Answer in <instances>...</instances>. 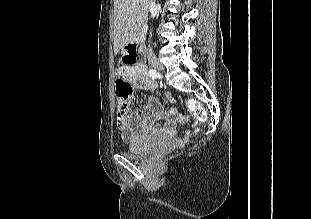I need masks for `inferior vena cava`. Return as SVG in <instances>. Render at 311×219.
<instances>
[{"mask_svg":"<svg viewBox=\"0 0 311 219\" xmlns=\"http://www.w3.org/2000/svg\"><path fill=\"white\" fill-rule=\"evenodd\" d=\"M153 1L154 0H150V4H153L154 3ZM150 36H152L151 32H150Z\"/></svg>","mask_w":311,"mask_h":219,"instance_id":"inferior-vena-cava-1","label":"inferior vena cava"}]
</instances>
